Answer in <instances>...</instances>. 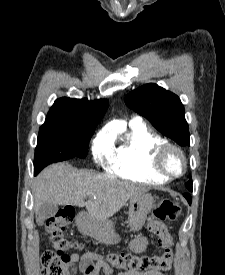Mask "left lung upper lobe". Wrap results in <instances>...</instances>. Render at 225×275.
Returning <instances> with one entry per match:
<instances>
[{"instance_id": "1", "label": "left lung upper lobe", "mask_w": 225, "mask_h": 275, "mask_svg": "<svg viewBox=\"0 0 225 275\" xmlns=\"http://www.w3.org/2000/svg\"><path fill=\"white\" fill-rule=\"evenodd\" d=\"M126 105L147 118L165 136L181 146H189V130L184 107L177 95L156 84H146L131 91ZM192 191V180L186 183Z\"/></svg>"}]
</instances>
